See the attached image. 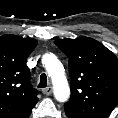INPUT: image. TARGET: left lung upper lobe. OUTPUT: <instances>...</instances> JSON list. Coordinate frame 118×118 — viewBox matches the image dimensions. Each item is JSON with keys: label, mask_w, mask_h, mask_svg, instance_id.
<instances>
[{"label": "left lung upper lobe", "mask_w": 118, "mask_h": 118, "mask_svg": "<svg viewBox=\"0 0 118 118\" xmlns=\"http://www.w3.org/2000/svg\"><path fill=\"white\" fill-rule=\"evenodd\" d=\"M69 58L71 97L66 115L107 118L118 104V59L100 42L89 38L56 40Z\"/></svg>", "instance_id": "left-lung-upper-lobe-1"}]
</instances>
